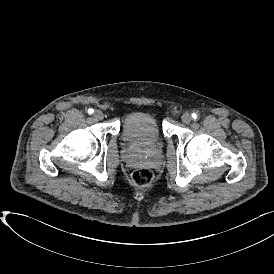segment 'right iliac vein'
<instances>
[{"label": "right iliac vein", "mask_w": 274, "mask_h": 274, "mask_svg": "<svg viewBox=\"0 0 274 274\" xmlns=\"http://www.w3.org/2000/svg\"><path fill=\"white\" fill-rule=\"evenodd\" d=\"M93 116L96 120H102L104 118V114L101 110H96Z\"/></svg>", "instance_id": "1"}]
</instances>
